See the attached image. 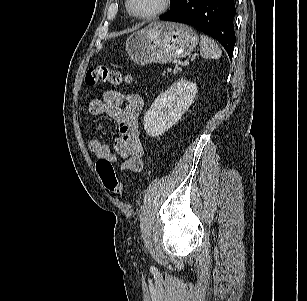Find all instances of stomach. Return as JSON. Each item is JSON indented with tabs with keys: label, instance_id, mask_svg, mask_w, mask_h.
<instances>
[{
	"label": "stomach",
	"instance_id": "0dacf381",
	"mask_svg": "<svg viewBox=\"0 0 307 301\" xmlns=\"http://www.w3.org/2000/svg\"><path fill=\"white\" fill-rule=\"evenodd\" d=\"M198 44L195 31L184 24L154 22L126 41V52L138 65L168 63L188 56Z\"/></svg>",
	"mask_w": 307,
	"mask_h": 301
}]
</instances>
